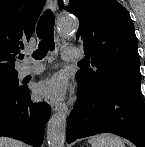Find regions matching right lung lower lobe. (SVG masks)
Listing matches in <instances>:
<instances>
[{
    "mask_svg": "<svg viewBox=\"0 0 145 147\" xmlns=\"http://www.w3.org/2000/svg\"><path fill=\"white\" fill-rule=\"evenodd\" d=\"M49 117V105L32 102L27 86L13 94L0 93V136L40 147Z\"/></svg>",
    "mask_w": 145,
    "mask_h": 147,
    "instance_id": "1",
    "label": "right lung lower lobe"
}]
</instances>
